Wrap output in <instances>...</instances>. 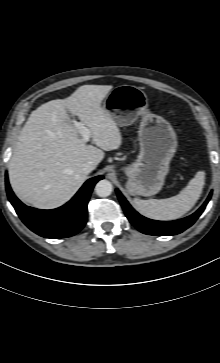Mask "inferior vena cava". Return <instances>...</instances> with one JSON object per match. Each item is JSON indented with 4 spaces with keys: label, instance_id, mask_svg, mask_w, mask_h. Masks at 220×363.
Listing matches in <instances>:
<instances>
[{
    "label": "inferior vena cava",
    "instance_id": "1",
    "mask_svg": "<svg viewBox=\"0 0 220 363\" xmlns=\"http://www.w3.org/2000/svg\"><path fill=\"white\" fill-rule=\"evenodd\" d=\"M95 168H96V164L89 161V162H86L83 164L82 172L87 175V174L91 173Z\"/></svg>",
    "mask_w": 220,
    "mask_h": 363
}]
</instances>
